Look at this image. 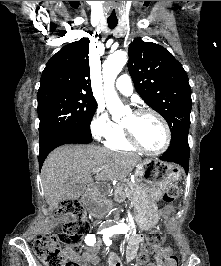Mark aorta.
Listing matches in <instances>:
<instances>
[{
	"label": "aorta",
	"instance_id": "762f6f07",
	"mask_svg": "<svg viewBox=\"0 0 221 266\" xmlns=\"http://www.w3.org/2000/svg\"><path fill=\"white\" fill-rule=\"evenodd\" d=\"M127 60V53L123 50H118L111 54L103 64L106 106L113 119H119L125 113V108L115 91L114 82ZM129 229L130 225L127 224H117L110 227L113 232L128 231Z\"/></svg>",
	"mask_w": 221,
	"mask_h": 266
}]
</instances>
